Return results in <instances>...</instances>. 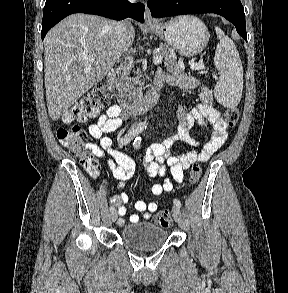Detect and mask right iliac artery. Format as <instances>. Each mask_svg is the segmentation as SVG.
Listing matches in <instances>:
<instances>
[{"mask_svg":"<svg viewBox=\"0 0 288 293\" xmlns=\"http://www.w3.org/2000/svg\"><path fill=\"white\" fill-rule=\"evenodd\" d=\"M142 131H143L142 126H137V127L133 128L129 133L125 134L121 138L120 144L127 145L135 136L140 134ZM109 210H110V212H113L115 210L114 206H111Z\"/></svg>","mask_w":288,"mask_h":293,"instance_id":"right-iliac-artery-1","label":"right iliac artery"}]
</instances>
